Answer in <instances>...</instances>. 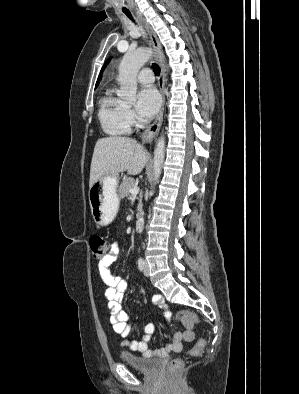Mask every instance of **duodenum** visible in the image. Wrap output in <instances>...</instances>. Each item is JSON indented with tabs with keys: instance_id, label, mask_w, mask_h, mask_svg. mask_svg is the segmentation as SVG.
<instances>
[{
	"instance_id": "duodenum-1",
	"label": "duodenum",
	"mask_w": 299,
	"mask_h": 394,
	"mask_svg": "<svg viewBox=\"0 0 299 394\" xmlns=\"http://www.w3.org/2000/svg\"><path fill=\"white\" fill-rule=\"evenodd\" d=\"M135 229H136L137 232H141L142 231V229H143V221H142V219L138 218L135 221Z\"/></svg>"
}]
</instances>
